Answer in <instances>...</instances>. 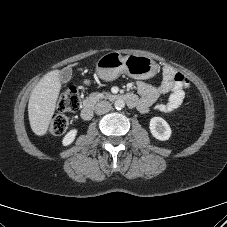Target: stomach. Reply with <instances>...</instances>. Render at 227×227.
Returning <instances> with one entry per match:
<instances>
[{"mask_svg": "<svg viewBox=\"0 0 227 227\" xmlns=\"http://www.w3.org/2000/svg\"><path fill=\"white\" fill-rule=\"evenodd\" d=\"M158 64L150 57L130 54L125 57L113 51L101 56L96 63L99 77L111 81L126 73L134 79H149L158 72Z\"/></svg>", "mask_w": 227, "mask_h": 227, "instance_id": "stomach-1", "label": "stomach"}]
</instances>
